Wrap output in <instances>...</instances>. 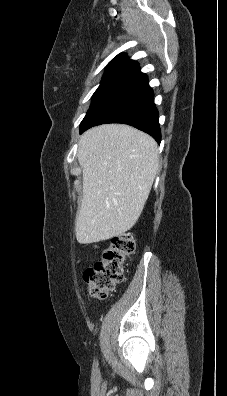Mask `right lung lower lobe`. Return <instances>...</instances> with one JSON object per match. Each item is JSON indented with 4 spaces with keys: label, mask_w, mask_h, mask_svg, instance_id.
<instances>
[{
    "label": "right lung lower lobe",
    "mask_w": 227,
    "mask_h": 396,
    "mask_svg": "<svg viewBox=\"0 0 227 396\" xmlns=\"http://www.w3.org/2000/svg\"><path fill=\"white\" fill-rule=\"evenodd\" d=\"M158 117L148 78L137 70L81 122L80 132L100 124L123 123L148 133L160 143Z\"/></svg>",
    "instance_id": "right-lung-lower-lobe-1"
}]
</instances>
